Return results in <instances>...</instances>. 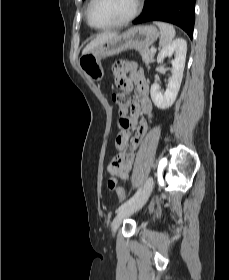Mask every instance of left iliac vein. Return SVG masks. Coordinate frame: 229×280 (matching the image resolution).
<instances>
[{"label":"left iliac vein","mask_w":229,"mask_h":280,"mask_svg":"<svg viewBox=\"0 0 229 280\" xmlns=\"http://www.w3.org/2000/svg\"><path fill=\"white\" fill-rule=\"evenodd\" d=\"M152 189H153V179H152V177H149L146 180L143 190H142L141 194L139 195V197L131 205L123 208L116 214V216L112 222L113 234L116 233L117 229L119 228V226L121 225V223L123 222V220L125 218L132 215L136 211L140 210L145 205L148 198L150 197Z\"/></svg>","instance_id":"1"}]
</instances>
